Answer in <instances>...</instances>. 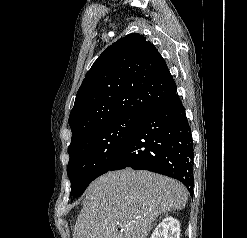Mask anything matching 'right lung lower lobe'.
<instances>
[{"mask_svg": "<svg viewBox=\"0 0 247 238\" xmlns=\"http://www.w3.org/2000/svg\"><path fill=\"white\" fill-rule=\"evenodd\" d=\"M127 167L175 178L193 193V141L176 93L142 115L108 171Z\"/></svg>", "mask_w": 247, "mask_h": 238, "instance_id": "98d812e1", "label": "right lung lower lobe"}]
</instances>
